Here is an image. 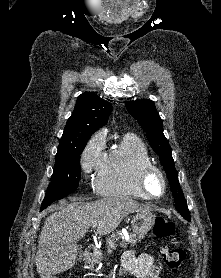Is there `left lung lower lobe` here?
<instances>
[{
	"mask_svg": "<svg viewBox=\"0 0 221 278\" xmlns=\"http://www.w3.org/2000/svg\"><path fill=\"white\" fill-rule=\"evenodd\" d=\"M186 220L190 221V218H186Z\"/></svg>",
	"mask_w": 221,
	"mask_h": 278,
	"instance_id": "obj_1",
	"label": "left lung lower lobe"
}]
</instances>
